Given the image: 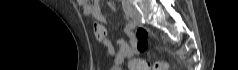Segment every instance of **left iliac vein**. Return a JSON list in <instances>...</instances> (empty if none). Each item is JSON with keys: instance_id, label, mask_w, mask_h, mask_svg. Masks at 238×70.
<instances>
[{"instance_id": "obj_1", "label": "left iliac vein", "mask_w": 238, "mask_h": 70, "mask_svg": "<svg viewBox=\"0 0 238 70\" xmlns=\"http://www.w3.org/2000/svg\"><path fill=\"white\" fill-rule=\"evenodd\" d=\"M130 15L134 23L136 24L141 23V15L135 7H130Z\"/></svg>"}]
</instances>
